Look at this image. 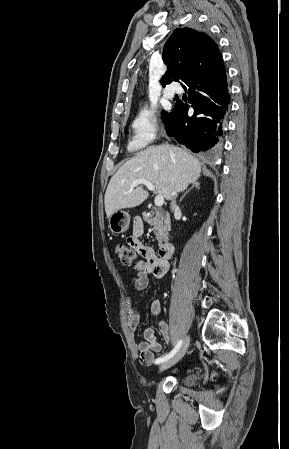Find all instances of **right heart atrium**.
<instances>
[{
    "label": "right heart atrium",
    "mask_w": 289,
    "mask_h": 449,
    "mask_svg": "<svg viewBox=\"0 0 289 449\" xmlns=\"http://www.w3.org/2000/svg\"><path fill=\"white\" fill-rule=\"evenodd\" d=\"M132 144L144 147L152 143L159 131L158 115L156 111L148 106L141 107L132 124Z\"/></svg>",
    "instance_id": "right-heart-atrium-1"
}]
</instances>
